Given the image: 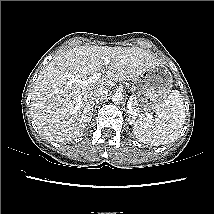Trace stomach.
Masks as SVG:
<instances>
[{"instance_id":"stomach-1","label":"stomach","mask_w":214,"mask_h":214,"mask_svg":"<svg viewBox=\"0 0 214 214\" xmlns=\"http://www.w3.org/2000/svg\"><path fill=\"white\" fill-rule=\"evenodd\" d=\"M172 74L158 63L144 71L132 85V112L149 113L156 110L169 96L172 88Z\"/></svg>"}]
</instances>
